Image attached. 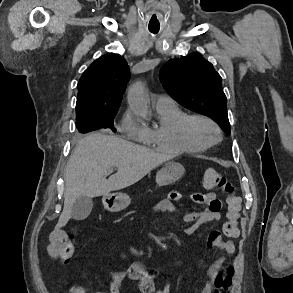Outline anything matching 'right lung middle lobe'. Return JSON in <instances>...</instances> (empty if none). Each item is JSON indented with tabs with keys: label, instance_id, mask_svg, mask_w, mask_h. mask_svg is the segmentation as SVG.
<instances>
[{
	"label": "right lung middle lobe",
	"instance_id": "dd1d6c3e",
	"mask_svg": "<svg viewBox=\"0 0 293 293\" xmlns=\"http://www.w3.org/2000/svg\"><path fill=\"white\" fill-rule=\"evenodd\" d=\"M116 112L109 114L78 113L76 111V127L80 133H87L100 128H113Z\"/></svg>",
	"mask_w": 293,
	"mask_h": 293
}]
</instances>
